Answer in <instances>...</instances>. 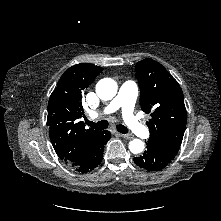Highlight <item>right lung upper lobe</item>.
I'll use <instances>...</instances> for the list:
<instances>
[{"label":"right lung upper lobe","mask_w":221,"mask_h":221,"mask_svg":"<svg viewBox=\"0 0 221 221\" xmlns=\"http://www.w3.org/2000/svg\"><path fill=\"white\" fill-rule=\"evenodd\" d=\"M102 71L103 68L89 63L70 67L49 98L47 126L50 140L58 157L66 163L85 158L101 132L85 129L79 119L84 116L83 92Z\"/></svg>","instance_id":"cb5924a9"}]
</instances>
